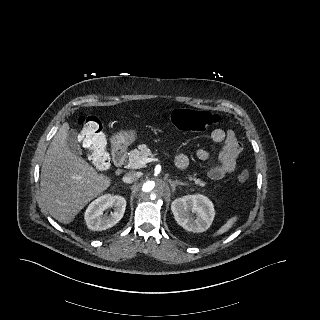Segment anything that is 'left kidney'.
Listing matches in <instances>:
<instances>
[{"instance_id":"left-kidney-1","label":"left kidney","mask_w":320,"mask_h":320,"mask_svg":"<svg viewBox=\"0 0 320 320\" xmlns=\"http://www.w3.org/2000/svg\"><path fill=\"white\" fill-rule=\"evenodd\" d=\"M171 210L176 222L191 232L206 231L215 216L213 203L201 194L187 195L174 200Z\"/></svg>"}]
</instances>
